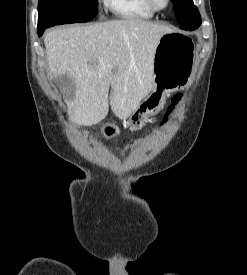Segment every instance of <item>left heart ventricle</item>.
<instances>
[{
  "label": "left heart ventricle",
  "instance_id": "left-heart-ventricle-1",
  "mask_svg": "<svg viewBox=\"0 0 247 275\" xmlns=\"http://www.w3.org/2000/svg\"><path fill=\"white\" fill-rule=\"evenodd\" d=\"M155 2L159 7H163L166 3V0H155Z\"/></svg>",
  "mask_w": 247,
  "mask_h": 275
}]
</instances>
